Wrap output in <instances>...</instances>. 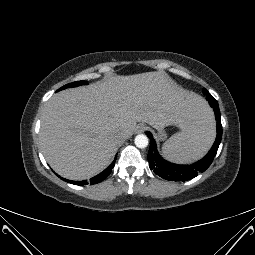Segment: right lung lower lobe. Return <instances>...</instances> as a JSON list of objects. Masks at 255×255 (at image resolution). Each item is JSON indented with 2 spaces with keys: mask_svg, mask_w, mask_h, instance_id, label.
I'll return each mask as SVG.
<instances>
[{
  "mask_svg": "<svg viewBox=\"0 0 255 255\" xmlns=\"http://www.w3.org/2000/svg\"><path fill=\"white\" fill-rule=\"evenodd\" d=\"M115 161H116V158L114 159V161L103 172H101L100 174L94 176L89 181H87V180H84V181H72V180L64 179L62 177H60V178L62 180H64V181L68 182V183L75 184V185H86V184H91L92 185V184H96V183H99V182L103 181L111 173V170L114 167Z\"/></svg>",
  "mask_w": 255,
  "mask_h": 255,
  "instance_id": "1",
  "label": "right lung lower lobe"
}]
</instances>
